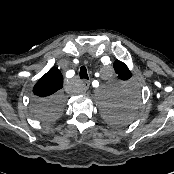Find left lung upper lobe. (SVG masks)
Listing matches in <instances>:
<instances>
[{
  "label": "left lung upper lobe",
  "instance_id": "1",
  "mask_svg": "<svg viewBox=\"0 0 174 174\" xmlns=\"http://www.w3.org/2000/svg\"><path fill=\"white\" fill-rule=\"evenodd\" d=\"M114 69L116 73L119 75L120 79L122 80H127L132 76L128 67L119 60H116L114 62ZM132 106H133V99L129 100L128 103H126L121 107L110 108L107 111V118L111 122L118 125L127 124L131 120Z\"/></svg>",
  "mask_w": 174,
  "mask_h": 174
}]
</instances>
